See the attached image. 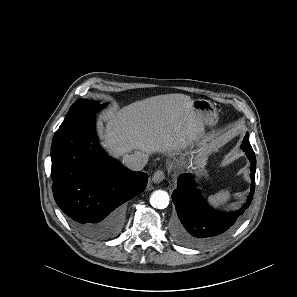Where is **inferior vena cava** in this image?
<instances>
[{
    "mask_svg": "<svg viewBox=\"0 0 297 297\" xmlns=\"http://www.w3.org/2000/svg\"><path fill=\"white\" fill-rule=\"evenodd\" d=\"M148 162V157L145 153L137 152L128 155L124 158L123 163L132 171H141Z\"/></svg>",
    "mask_w": 297,
    "mask_h": 297,
    "instance_id": "obj_1",
    "label": "inferior vena cava"
}]
</instances>
